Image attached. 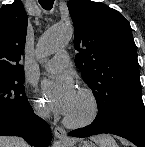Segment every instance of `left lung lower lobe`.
Instances as JSON below:
<instances>
[{"mask_svg":"<svg viewBox=\"0 0 145 147\" xmlns=\"http://www.w3.org/2000/svg\"><path fill=\"white\" fill-rule=\"evenodd\" d=\"M101 133L121 136L137 147H145L144 104L121 111L105 123L94 120L91 125L70 132L72 137H89Z\"/></svg>","mask_w":145,"mask_h":147,"instance_id":"obj_1","label":"left lung lower lobe"}]
</instances>
